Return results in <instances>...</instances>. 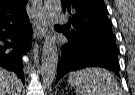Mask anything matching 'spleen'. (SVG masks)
<instances>
[{
    "instance_id": "3e777b00",
    "label": "spleen",
    "mask_w": 135,
    "mask_h": 95,
    "mask_svg": "<svg viewBox=\"0 0 135 95\" xmlns=\"http://www.w3.org/2000/svg\"><path fill=\"white\" fill-rule=\"evenodd\" d=\"M69 84L80 91V95H123L116 78L102 68H86L72 72Z\"/></svg>"
}]
</instances>
